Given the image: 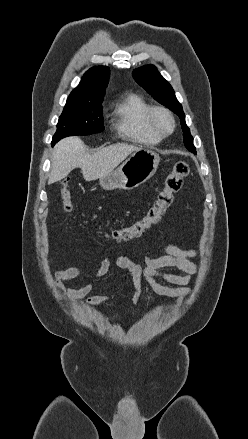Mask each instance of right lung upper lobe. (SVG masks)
Here are the masks:
<instances>
[{"mask_svg": "<svg viewBox=\"0 0 248 439\" xmlns=\"http://www.w3.org/2000/svg\"><path fill=\"white\" fill-rule=\"evenodd\" d=\"M109 68L95 66L82 77L80 84L70 93L67 101L98 102L103 101L105 88L109 80Z\"/></svg>", "mask_w": 248, "mask_h": 439, "instance_id": "obj_1", "label": "right lung upper lobe"}]
</instances>
